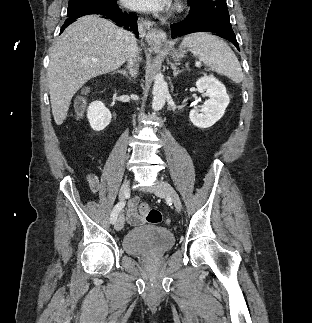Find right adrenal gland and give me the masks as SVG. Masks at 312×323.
Segmentation results:
<instances>
[{"label":"right adrenal gland","instance_id":"obj_1","mask_svg":"<svg viewBox=\"0 0 312 323\" xmlns=\"http://www.w3.org/2000/svg\"><path fill=\"white\" fill-rule=\"evenodd\" d=\"M117 74H122V76H124V78H129V74H127V72H125V70H117Z\"/></svg>","mask_w":312,"mask_h":323}]
</instances>
